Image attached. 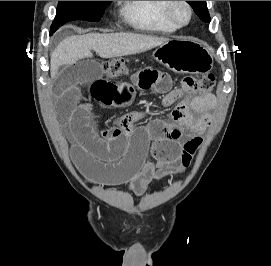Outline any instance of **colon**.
<instances>
[{"label":"colon","mask_w":271,"mask_h":266,"mask_svg":"<svg viewBox=\"0 0 271 266\" xmlns=\"http://www.w3.org/2000/svg\"><path fill=\"white\" fill-rule=\"evenodd\" d=\"M127 69V62L123 59H112L102 63V71L106 77L113 78L123 74ZM215 84L212 73H204L198 76H188L183 79L182 89L188 94L207 96L211 94ZM202 142L200 136H194L183 144L182 164L188 166Z\"/></svg>","instance_id":"obj_1"}]
</instances>
